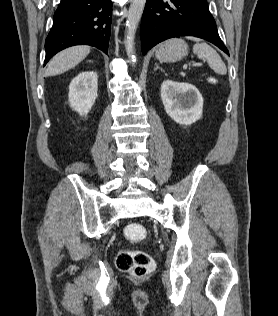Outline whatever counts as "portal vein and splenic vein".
<instances>
[{
  "label": "portal vein and splenic vein",
  "instance_id": "portal-vein-and-splenic-vein-1",
  "mask_svg": "<svg viewBox=\"0 0 278 316\" xmlns=\"http://www.w3.org/2000/svg\"><path fill=\"white\" fill-rule=\"evenodd\" d=\"M201 65H202L201 63H193L192 66H194V67H199V66H201Z\"/></svg>",
  "mask_w": 278,
  "mask_h": 316
}]
</instances>
